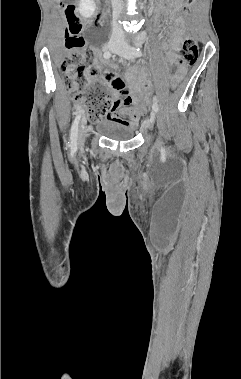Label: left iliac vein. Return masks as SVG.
Returning a JSON list of instances; mask_svg holds the SVG:
<instances>
[{"label": "left iliac vein", "mask_w": 241, "mask_h": 379, "mask_svg": "<svg viewBox=\"0 0 241 379\" xmlns=\"http://www.w3.org/2000/svg\"><path fill=\"white\" fill-rule=\"evenodd\" d=\"M116 53L123 57V58H126V59H132L134 57V54L132 52V48L127 45V44H123L117 51ZM154 122H155V111H152L151 114H150V119L145 121L144 123V127L145 128H152L153 125H154ZM157 144L159 145L160 142L157 141Z\"/></svg>", "instance_id": "obj_1"}]
</instances>
